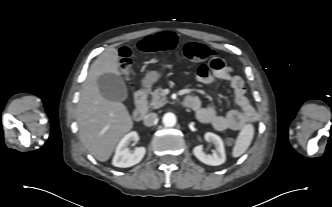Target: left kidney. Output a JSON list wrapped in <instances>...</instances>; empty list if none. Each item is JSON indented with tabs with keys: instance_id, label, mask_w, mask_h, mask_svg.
<instances>
[{
	"instance_id": "5707ae66",
	"label": "left kidney",
	"mask_w": 332,
	"mask_h": 207,
	"mask_svg": "<svg viewBox=\"0 0 332 207\" xmlns=\"http://www.w3.org/2000/svg\"><path fill=\"white\" fill-rule=\"evenodd\" d=\"M205 139L213 143L215 150L211 154H207L204 152L203 147L198 145L193 149L195 157L207 165L218 166L223 164L226 160V155L222 139L211 132L205 134Z\"/></svg>"
}]
</instances>
